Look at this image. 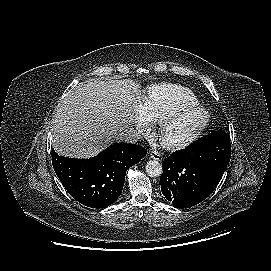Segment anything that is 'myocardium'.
Masks as SVG:
<instances>
[{
  "mask_svg": "<svg viewBox=\"0 0 271 271\" xmlns=\"http://www.w3.org/2000/svg\"><path fill=\"white\" fill-rule=\"evenodd\" d=\"M192 113H200L202 115V118L198 122L196 127L184 138L177 139V140L169 139L167 137V131L169 127L179 118H182ZM209 121H210V113L207 110V108L201 105L200 103L182 107L178 110H175L165 115L159 121L158 135H159L160 142L165 148L170 149V150H178V149L186 148L192 143H194L201 136V134L207 127Z\"/></svg>",
  "mask_w": 271,
  "mask_h": 271,
  "instance_id": "obj_1",
  "label": "myocardium"
}]
</instances>
